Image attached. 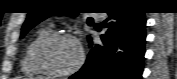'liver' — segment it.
I'll return each mask as SVG.
<instances>
[{
    "label": "liver",
    "mask_w": 177,
    "mask_h": 79,
    "mask_svg": "<svg viewBox=\"0 0 177 79\" xmlns=\"http://www.w3.org/2000/svg\"><path fill=\"white\" fill-rule=\"evenodd\" d=\"M37 79H44L43 77H38Z\"/></svg>",
    "instance_id": "liver-1"
}]
</instances>
